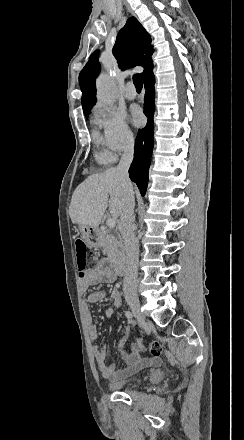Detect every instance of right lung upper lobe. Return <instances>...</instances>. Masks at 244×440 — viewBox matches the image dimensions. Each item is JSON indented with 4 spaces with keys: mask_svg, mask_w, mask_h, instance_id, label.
I'll list each match as a JSON object with an SVG mask.
<instances>
[{
    "mask_svg": "<svg viewBox=\"0 0 244 440\" xmlns=\"http://www.w3.org/2000/svg\"><path fill=\"white\" fill-rule=\"evenodd\" d=\"M151 37L135 17L127 20L119 31L113 55L122 70L140 65L144 67L141 74L144 77L153 69ZM99 51H95L79 75V84L82 91L83 112H89L96 102V77L100 72L98 62Z\"/></svg>",
    "mask_w": 244,
    "mask_h": 440,
    "instance_id": "1",
    "label": "right lung upper lobe"
}]
</instances>
